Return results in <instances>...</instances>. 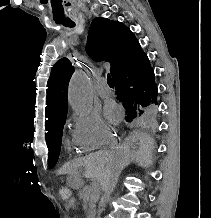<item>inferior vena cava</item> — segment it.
<instances>
[{"label":"inferior vena cava","mask_w":211,"mask_h":218,"mask_svg":"<svg viewBox=\"0 0 211 218\" xmlns=\"http://www.w3.org/2000/svg\"><path fill=\"white\" fill-rule=\"evenodd\" d=\"M116 164H117V162H116ZM120 172H121V168H118V164H117V166H115L114 170H112V174H110V176H108L107 180H105V182H101V188L104 192V194H103L104 200H108V198H110L114 188H116V184L118 182Z\"/></svg>","instance_id":"602c4592"}]
</instances>
